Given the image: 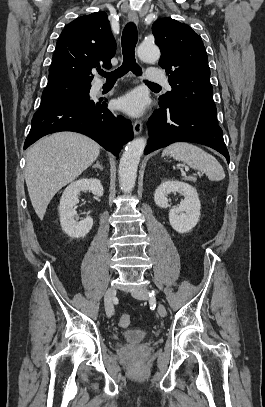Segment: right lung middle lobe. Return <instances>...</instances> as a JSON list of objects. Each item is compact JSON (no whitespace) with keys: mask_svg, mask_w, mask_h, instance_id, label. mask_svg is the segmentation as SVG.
Returning a JSON list of instances; mask_svg holds the SVG:
<instances>
[{"mask_svg":"<svg viewBox=\"0 0 265 407\" xmlns=\"http://www.w3.org/2000/svg\"><path fill=\"white\" fill-rule=\"evenodd\" d=\"M90 88L91 84L72 81L48 83L42 93L39 110L78 101L89 94Z\"/></svg>","mask_w":265,"mask_h":407,"instance_id":"1","label":"right lung middle lobe"}]
</instances>
